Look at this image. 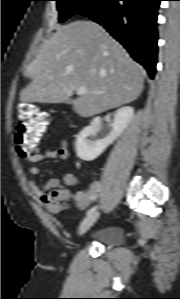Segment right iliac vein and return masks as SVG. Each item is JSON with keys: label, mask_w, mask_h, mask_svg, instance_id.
<instances>
[{"label": "right iliac vein", "mask_w": 180, "mask_h": 299, "mask_svg": "<svg viewBox=\"0 0 180 299\" xmlns=\"http://www.w3.org/2000/svg\"><path fill=\"white\" fill-rule=\"evenodd\" d=\"M99 217L98 212H93L89 214L80 224L79 226V235H83L86 231H88L93 224L97 221Z\"/></svg>", "instance_id": "63e3f726"}]
</instances>
